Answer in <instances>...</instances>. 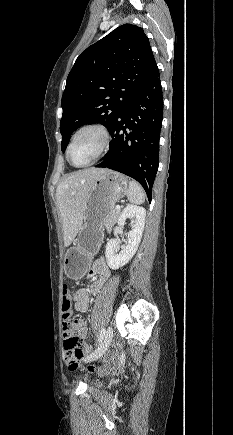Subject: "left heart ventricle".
I'll return each instance as SVG.
<instances>
[{"label":"left heart ventricle","mask_w":233,"mask_h":435,"mask_svg":"<svg viewBox=\"0 0 233 435\" xmlns=\"http://www.w3.org/2000/svg\"><path fill=\"white\" fill-rule=\"evenodd\" d=\"M100 145V138L93 132L82 134L70 149V160L75 165H82L92 160Z\"/></svg>","instance_id":"left-heart-ventricle-1"}]
</instances>
